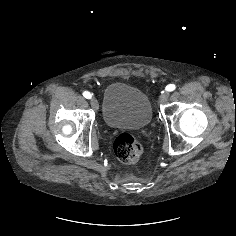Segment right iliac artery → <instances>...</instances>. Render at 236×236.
Masks as SVG:
<instances>
[{"instance_id":"right-iliac-artery-1","label":"right iliac artery","mask_w":236,"mask_h":236,"mask_svg":"<svg viewBox=\"0 0 236 236\" xmlns=\"http://www.w3.org/2000/svg\"><path fill=\"white\" fill-rule=\"evenodd\" d=\"M83 96L86 98V99H90L92 97V94L88 91H85L83 92Z\"/></svg>"}]
</instances>
